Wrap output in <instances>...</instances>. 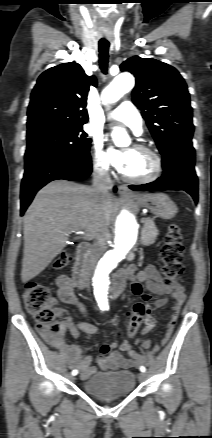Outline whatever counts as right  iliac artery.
Masks as SVG:
<instances>
[{"mask_svg": "<svg viewBox=\"0 0 212 438\" xmlns=\"http://www.w3.org/2000/svg\"><path fill=\"white\" fill-rule=\"evenodd\" d=\"M77 374H78V370L75 369V370L72 371V375H73V376H75V375H77Z\"/></svg>", "mask_w": 212, "mask_h": 438, "instance_id": "obj_1", "label": "right iliac artery"}]
</instances>
